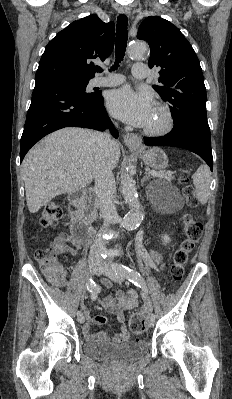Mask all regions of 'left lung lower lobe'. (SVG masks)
I'll return each instance as SVG.
<instances>
[{"instance_id":"left-lung-lower-lobe-1","label":"left lung lower lobe","mask_w":232,"mask_h":399,"mask_svg":"<svg viewBox=\"0 0 232 399\" xmlns=\"http://www.w3.org/2000/svg\"><path fill=\"white\" fill-rule=\"evenodd\" d=\"M144 142L148 146H172L190 150L205 160L211 170L213 169L211 142L197 136L171 131L157 138L144 137Z\"/></svg>"}]
</instances>
